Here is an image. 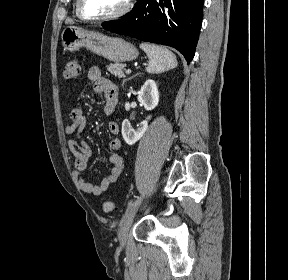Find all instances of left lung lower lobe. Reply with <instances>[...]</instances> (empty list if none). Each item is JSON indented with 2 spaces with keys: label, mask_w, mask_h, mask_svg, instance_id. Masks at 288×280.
Masks as SVG:
<instances>
[{
  "label": "left lung lower lobe",
  "mask_w": 288,
  "mask_h": 280,
  "mask_svg": "<svg viewBox=\"0 0 288 280\" xmlns=\"http://www.w3.org/2000/svg\"><path fill=\"white\" fill-rule=\"evenodd\" d=\"M204 0H138L124 18L103 23L107 30L177 49L188 64L195 55Z\"/></svg>",
  "instance_id": "left-lung-lower-lobe-1"
}]
</instances>
